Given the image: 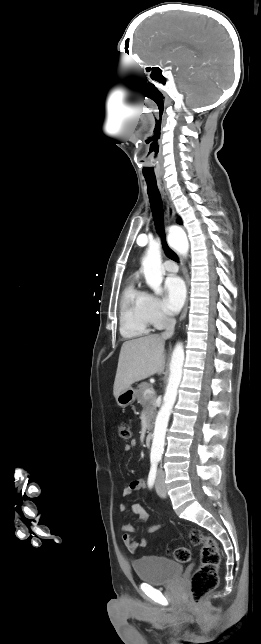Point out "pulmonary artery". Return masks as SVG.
I'll list each match as a JSON object with an SVG mask.
<instances>
[{"label": "pulmonary artery", "instance_id": "obj_1", "mask_svg": "<svg viewBox=\"0 0 261 644\" xmlns=\"http://www.w3.org/2000/svg\"><path fill=\"white\" fill-rule=\"evenodd\" d=\"M164 268L168 272H177L178 266L174 261L168 260L164 263Z\"/></svg>", "mask_w": 261, "mask_h": 644}]
</instances>
